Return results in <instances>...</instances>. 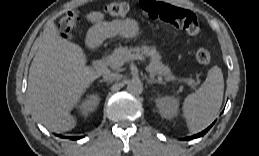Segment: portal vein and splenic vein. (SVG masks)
I'll return each mask as SVG.
<instances>
[{
	"mask_svg": "<svg viewBox=\"0 0 259 156\" xmlns=\"http://www.w3.org/2000/svg\"><path fill=\"white\" fill-rule=\"evenodd\" d=\"M134 59L143 60V57H136V58H134ZM146 70H147L148 72H150L151 76H154V70L152 69L151 66H147V67H146ZM175 80H176V78H175ZM178 81L188 83L189 85L195 84V81H194V80H189V79H178Z\"/></svg>",
	"mask_w": 259,
	"mask_h": 156,
	"instance_id": "18ae733b",
	"label": "portal vein and splenic vein"
}]
</instances>
